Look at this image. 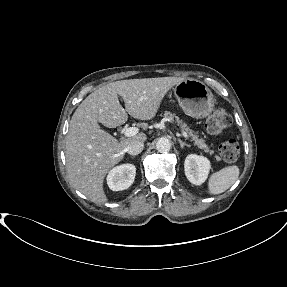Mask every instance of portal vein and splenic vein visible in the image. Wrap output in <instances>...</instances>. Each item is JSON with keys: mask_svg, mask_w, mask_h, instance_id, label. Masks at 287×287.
Masks as SVG:
<instances>
[{"mask_svg": "<svg viewBox=\"0 0 287 287\" xmlns=\"http://www.w3.org/2000/svg\"><path fill=\"white\" fill-rule=\"evenodd\" d=\"M139 129L137 127H129L124 131V135L126 137H132L134 135H136L138 133ZM182 135L184 136V138L188 139V135L186 132H182Z\"/></svg>", "mask_w": 287, "mask_h": 287, "instance_id": "1", "label": "portal vein and splenic vein"}]
</instances>
